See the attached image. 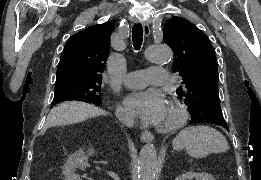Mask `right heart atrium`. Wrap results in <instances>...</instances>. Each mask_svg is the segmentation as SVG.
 Returning <instances> with one entry per match:
<instances>
[{"mask_svg":"<svg viewBox=\"0 0 261 180\" xmlns=\"http://www.w3.org/2000/svg\"><path fill=\"white\" fill-rule=\"evenodd\" d=\"M117 111L121 114V115H124V110L121 106H117Z\"/></svg>","mask_w":261,"mask_h":180,"instance_id":"right-heart-atrium-1","label":"right heart atrium"}]
</instances>
